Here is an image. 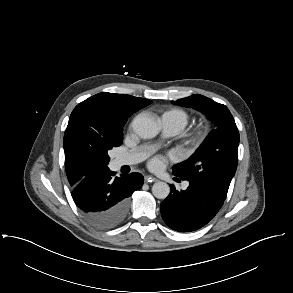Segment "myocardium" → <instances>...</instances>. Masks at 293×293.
Returning <instances> with one entry per match:
<instances>
[{
	"instance_id": "f54148a6",
	"label": "myocardium",
	"mask_w": 293,
	"mask_h": 293,
	"mask_svg": "<svg viewBox=\"0 0 293 293\" xmlns=\"http://www.w3.org/2000/svg\"><path fill=\"white\" fill-rule=\"evenodd\" d=\"M205 137L206 129L203 126H197L187 135V143L191 147H198L203 143Z\"/></svg>"
}]
</instances>
